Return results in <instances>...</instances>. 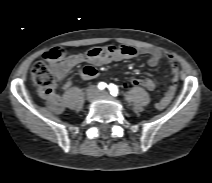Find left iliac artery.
<instances>
[{
    "label": "left iliac artery",
    "instance_id": "left-iliac-artery-1",
    "mask_svg": "<svg viewBox=\"0 0 212 183\" xmlns=\"http://www.w3.org/2000/svg\"><path fill=\"white\" fill-rule=\"evenodd\" d=\"M108 89H109L111 95L117 96V94H118V88H117L116 85L110 84V85L108 86Z\"/></svg>",
    "mask_w": 212,
    "mask_h": 183
}]
</instances>
